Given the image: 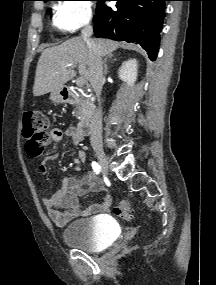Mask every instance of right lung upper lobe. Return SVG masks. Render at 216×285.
Returning <instances> with one entry per match:
<instances>
[{"mask_svg": "<svg viewBox=\"0 0 216 285\" xmlns=\"http://www.w3.org/2000/svg\"><path fill=\"white\" fill-rule=\"evenodd\" d=\"M43 1H45V2H46V1H50V0H43Z\"/></svg>", "mask_w": 216, "mask_h": 285, "instance_id": "obj_1", "label": "right lung upper lobe"}]
</instances>
